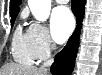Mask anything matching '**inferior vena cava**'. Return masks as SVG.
<instances>
[{
	"instance_id": "602c4592",
	"label": "inferior vena cava",
	"mask_w": 102,
	"mask_h": 75,
	"mask_svg": "<svg viewBox=\"0 0 102 75\" xmlns=\"http://www.w3.org/2000/svg\"><path fill=\"white\" fill-rule=\"evenodd\" d=\"M52 48L55 49V44H52ZM53 62H54V59H53V58H52V59H49V60H47V61H45V62L43 63V65L40 67V69H41V70H44V71H47L46 68H47L48 66H51Z\"/></svg>"
}]
</instances>
